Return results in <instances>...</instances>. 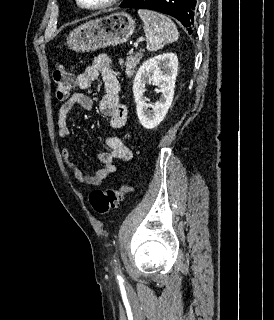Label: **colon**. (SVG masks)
<instances>
[{
  "mask_svg": "<svg viewBox=\"0 0 274 320\" xmlns=\"http://www.w3.org/2000/svg\"><path fill=\"white\" fill-rule=\"evenodd\" d=\"M53 80L56 98L59 101L67 100L74 88L73 73L63 64H58L53 70ZM130 190L131 187L126 183L121 184L119 188L94 190L90 193L88 202L97 214L104 215L123 203Z\"/></svg>",
  "mask_w": 274,
  "mask_h": 320,
  "instance_id": "obj_1",
  "label": "colon"
}]
</instances>
